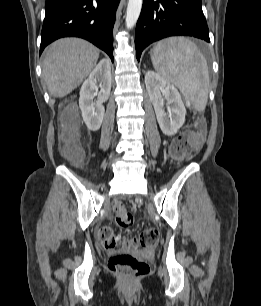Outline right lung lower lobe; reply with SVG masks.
I'll return each mask as SVG.
<instances>
[{
  "label": "right lung lower lobe",
  "instance_id": "1",
  "mask_svg": "<svg viewBox=\"0 0 261 306\" xmlns=\"http://www.w3.org/2000/svg\"><path fill=\"white\" fill-rule=\"evenodd\" d=\"M120 0H46L40 53L54 40L75 36L105 51L113 61V26Z\"/></svg>",
  "mask_w": 261,
  "mask_h": 306
}]
</instances>
